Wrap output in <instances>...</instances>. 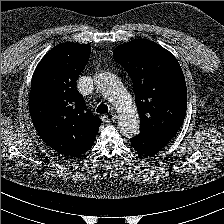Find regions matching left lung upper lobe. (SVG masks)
I'll return each mask as SVG.
<instances>
[{
    "instance_id": "left-lung-upper-lobe-1",
    "label": "left lung upper lobe",
    "mask_w": 224,
    "mask_h": 224,
    "mask_svg": "<svg viewBox=\"0 0 224 224\" xmlns=\"http://www.w3.org/2000/svg\"><path fill=\"white\" fill-rule=\"evenodd\" d=\"M114 54L133 81L140 130L169 142L187 109V88L178 61L147 39L123 44Z\"/></svg>"
}]
</instances>
